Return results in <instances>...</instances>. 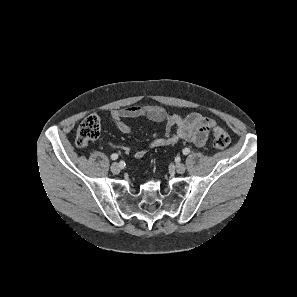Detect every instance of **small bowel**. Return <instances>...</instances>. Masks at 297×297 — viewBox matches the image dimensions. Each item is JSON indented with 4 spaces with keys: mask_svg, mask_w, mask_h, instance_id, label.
<instances>
[{
    "mask_svg": "<svg viewBox=\"0 0 297 297\" xmlns=\"http://www.w3.org/2000/svg\"><path fill=\"white\" fill-rule=\"evenodd\" d=\"M111 121L118 130L124 134L131 133V127L124 122L127 118L146 117L162 126L164 137H158V131L152 134L146 149H140L132 152L135 158H142L147 150L161 147L172 146L179 141H185L194 144L197 147H203L206 144L208 136L215 125V122L199 113H190L186 116L178 114H169L165 109L158 105H133L120 109H115L107 113Z\"/></svg>",
    "mask_w": 297,
    "mask_h": 297,
    "instance_id": "1",
    "label": "small bowel"
}]
</instances>
